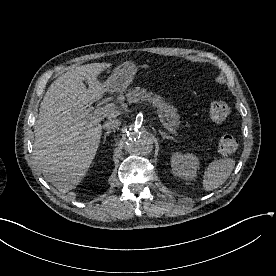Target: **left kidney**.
I'll return each mask as SVG.
<instances>
[{
	"mask_svg": "<svg viewBox=\"0 0 276 276\" xmlns=\"http://www.w3.org/2000/svg\"><path fill=\"white\" fill-rule=\"evenodd\" d=\"M171 167L173 174L186 180L196 177L199 168V159L193 154H181L176 152L171 157Z\"/></svg>",
	"mask_w": 276,
	"mask_h": 276,
	"instance_id": "obj_1",
	"label": "left kidney"
}]
</instances>
